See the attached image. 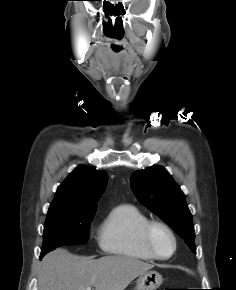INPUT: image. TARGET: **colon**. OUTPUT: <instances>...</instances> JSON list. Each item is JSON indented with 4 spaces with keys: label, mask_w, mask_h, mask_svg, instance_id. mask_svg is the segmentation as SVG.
<instances>
[{
    "label": "colon",
    "mask_w": 236,
    "mask_h": 290,
    "mask_svg": "<svg viewBox=\"0 0 236 290\" xmlns=\"http://www.w3.org/2000/svg\"><path fill=\"white\" fill-rule=\"evenodd\" d=\"M164 290H178V289H164Z\"/></svg>",
    "instance_id": "colon-1"
}]
</instances>
